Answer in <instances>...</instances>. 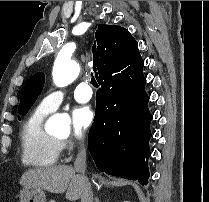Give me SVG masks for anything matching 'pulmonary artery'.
Masks as SVG:
<instances>
[{"mask_svg":"<svg viewBox=\"0 0 209 202\" xmlns=\"http://www.w3.org/2000/svg\"><path fill=\"white\" fill-rule=\"evenodd\" d=\"M64 92L60 90H54L48 95L44 96L40 101V107L46 111L52 112L57 110L63 102ZM93 96L92 88L82 82L74 88V98L79 103L88 102Z\"/></svg>","mask_w":209,"mask_h":202,"instance_id":"obj_1","label":"pulmonary artery"}]
</instances>
